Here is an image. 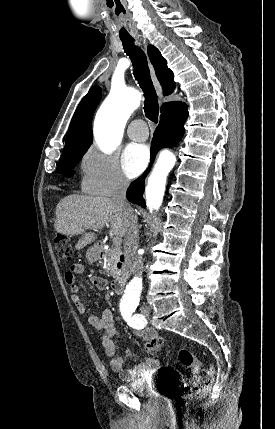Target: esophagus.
Instances as JSON below:
<instances>
[{
	"label": "esophagus",
	"instance_id": "esophagus-1",
	"mask_svg": "<svg viewBox=\"0 0 275 429\" xmlns=\"http://www.w3.org/2000/svg\"><path fill=\"white\" fill-rule=\"evenodd\" d=\"M143 43L146 45V40H145V39L143 40ZM149 68H150V72H151L152 80H153V83H154V85H155V88H156L157 94H158V96L161 98V97H162V88H161V85H160L159 81L157 80V77H156V75H155V72H154L153 66H152L151 64H149Z\"/></svg>",
	"mask_w": 275,
	"mask_h": 429
}]
</instances>
